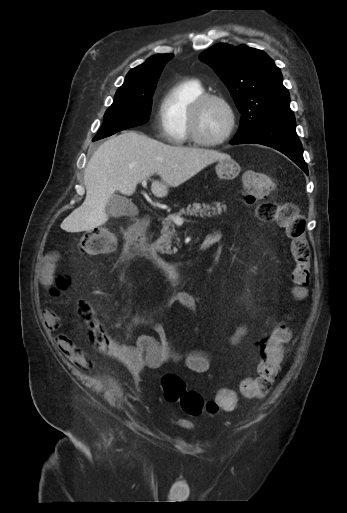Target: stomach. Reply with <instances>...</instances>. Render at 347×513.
Segmentation results:
<instances>
[{
    "label": "stomach",
    "instance_id": "0dacf381",
    "mask_svg": "<svg viewBox=\"0 0 347 513\" xmlns=\"http://www.w3.org/2000/svg\"><path fill=\"white\" fill-rule=\"evenodd\" d=\"M217 176L223 180H232L238 176L241 171L240 165L232 158L219 160L215 166Z\"/></svg>",
    "mask_w": 347,
    "mask_h": 513
}]
</instances>
